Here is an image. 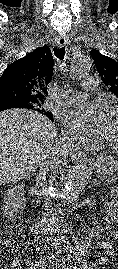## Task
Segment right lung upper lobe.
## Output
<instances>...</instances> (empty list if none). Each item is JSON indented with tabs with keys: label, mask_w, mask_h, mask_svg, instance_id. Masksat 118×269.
<instances>
[{
	"label": "right lung upper lobe",
	"mask_w": 118,
	"mask_h": 269,
	"mask_svg": "<svg viewBox=\"0 0 118 269\" xmlns=\"http://www.w3.org/2000/svg\"><path fill=\"white\" fill-rule=\"evenodd\" d=\"M53 65L51 50L46 45L11 63L0 77V106L16 105L11 100L13 95L35 98L41 102V106L29 109L37 110L53 120L52 114L43 107Z\"/></svg>",
	"instance_id": "obj_1"
}]
</instances>
